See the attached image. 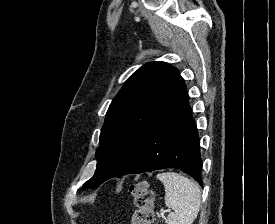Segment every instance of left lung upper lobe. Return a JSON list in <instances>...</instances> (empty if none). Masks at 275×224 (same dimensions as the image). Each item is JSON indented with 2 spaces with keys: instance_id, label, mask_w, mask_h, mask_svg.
<instances>
[{
  "instance_id": "left-lung-upper-lobe-1",
  "label": "left lung upper lobe",
  "mask_w": 275,
  "mask_h": 224,
  "mask_svg": "<svg viewBox=\"0 0 275 224\" xmlns=\"http://www.w3.org/2000/svg\"><path fill=\"white\" fill-rule=\"evenodd\" d=\"M186 93L184 80L168 63L150 62L133 73L106 113L96 171L82 188L125 174L151 133Z\"/></svg>"
}]
</instances>
